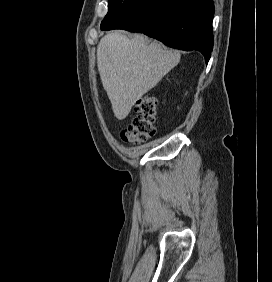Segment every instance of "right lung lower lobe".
Segmentation results:
<instances>
[{"instance_id":"98d812e1","label":"right lung lower lobe","mask_w":272,"mask_h":282,"mask_svg":"<svg viewBox=\"0 0 272 282\" xmlns=\"http://www.w3.org/2000/svg\"><path fill=\"white\" fill-rule=\"evenodd\" d=\"M213 15V0H137L101 30L144 33L172 48L200 51L208 62Z\"/></svg>"}]
</instances>
